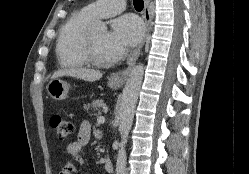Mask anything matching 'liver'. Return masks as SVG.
<instances>
[{"label": "liver", "mask_w": 249, "mask_h": 174, "mask_svg": "<svg viewBox=\"0 0 249 174\" xmlns=\"http://www.w3.org/2000/svg\"><path fill=\"white\" fill-rule=\"evenodd\" d=\"M63 76H69L84 81L93 82L99 80L102 77V73L99 71L86 69V68H69V69H61L56 71L53 74L52 79H56L58 77H63Z\"/></svg>", "instance_id": "1"}]
</instances>
